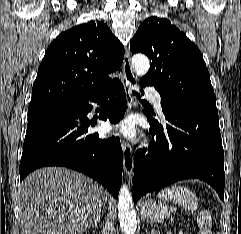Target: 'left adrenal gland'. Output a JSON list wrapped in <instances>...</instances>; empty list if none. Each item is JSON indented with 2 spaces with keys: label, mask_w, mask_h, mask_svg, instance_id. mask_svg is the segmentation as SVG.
I'll list each match as a JSON object with an SVG mask.
<instances>
[{
  "label": "left adrenal gland",
  "mask_w": 241,
  "mask_h": 234,
  "mask_svg": "<svg viewBox=\"0 0 241 234\" xmlns=\"http://www.w3.org/2000/svg\"><path fill=\"white\" fill-rule=\"evenodd\" d=\"M150 234H155V230H154V228L152 227V229H151V233Z\"/></svg>",
  "instance_id": "left-adrenal-gland-1"
}]
</instances>
